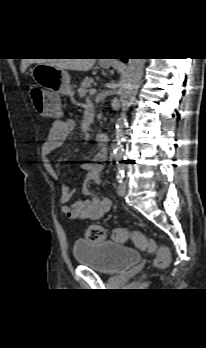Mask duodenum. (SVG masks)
<instances>
[{
    "label": "duodenum",
    "instance_id": "duodenum-1",
    "mask_svg": "<svg viewBox=\"0 0 206 348\" xmlns=\"http://www.w3.org/2000/svg\"><path fill=\"white\" fill-rule=\"evenodd\" d=\"M109 138H110L109 133L105 131L98 133L96 136V140L100 143L107 142Z\"/></svg>",
    "mask_w": 206,
    "mask_h": 348
}]
</instances>
